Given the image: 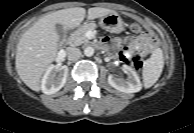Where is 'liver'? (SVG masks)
Listing matches in <instances>:
<instances>
[{
  "label": "liver",
  "instance_id": "liver-1",
  "mask_svg": "<svg viewBox=\"0 0 194 133\" xmlns=\"http://www.w3.org/2000/svg\"><path fill=\"white\" fill-rule=\"evenodd\" d=\"M116 13L101 7L88 9L87 18L93 20ZM86 10L81 7L62 9L48 13L40 18L20 38L15 65L20 79L32 90H40L43 74L57 56L59 36L56 24L74 29L84 20Z\"/></svg>",
  "mask_w": 194,
  "mask_h": 133
}]
</instances>
